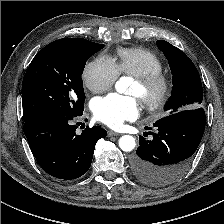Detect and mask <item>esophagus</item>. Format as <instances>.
I'll list each match as a JSON object with an SVG mask.
<instances>
[{
  "label": "esophagus",
  "mask_w": 224,
  "mask_h": 224,
  "mask_svg": "<svg viewBox=\"0 0 224 224\" xmlns=\"http://www.w3.org/2000/svg\"><path fill=\"white\" fill-rule=\"evenodd\" d=\"M120 134L117 133V132H114V131H108V136L111 137V136H119Z\"/></svg>",
  "instance_id": "1"
}]
</instances>
